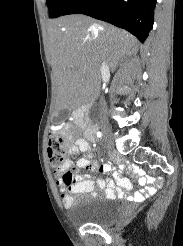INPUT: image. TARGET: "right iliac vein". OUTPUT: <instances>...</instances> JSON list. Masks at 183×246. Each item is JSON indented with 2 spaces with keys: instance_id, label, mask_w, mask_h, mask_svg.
<instances>
[{
  "instance_id": "1",
  "label": "right iliac vein",
  "mask_w": 183,
  "mask_h": 246,
  "mask_svg": "<svg viewBox=\"0 0 183 246\" xmlns=\"http://www.w3.org/2000/svg\"><path fill=\"white\" fill-rule=\"evenodd\" d=\"M102 133L105 141L110 145L112 143V133L107 123L102 122L101 124Z\"/></svg>"
}]
</instances>
